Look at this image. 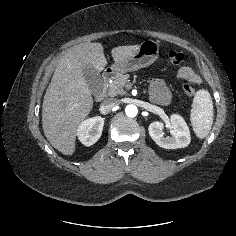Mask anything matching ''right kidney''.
Instances as JSON below:
<instances>
[{
    "label": "right kidney",
    "instance_id": "right-kidney-1",
    "mask_svg": "<svg viewBox=\"0 0 236 236\" xmlns=\"http://www.w3.org/2000/svg\"><path fill=\"white\" fill-rule=\"evenodd\" d=\"M104 119L100 116L83 121L77 130L79 140L85 146H91L101 137Z\"/></svg>",
    "mask_w": 236,
    "mask_h": 236
}]
</instances>
